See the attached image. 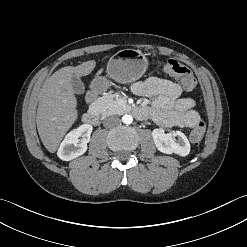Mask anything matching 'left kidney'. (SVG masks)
I'll list each match as a JSON object with an SVG mask.
<instances>
[{"label":"left kidney","instance_id":"5707ae66","mask_svg":"<svg viewBox=\"0 0 247 247\" xmlns=\"http://www.w3.org/2000/svg\"><path fill=\"white\" fill-rule=\"evenodd\" d=\"M152 137L157 149L162 153H174L183 157L190 152V143L184 133L180 131L166 134L162 128H157L152 131Z\"/></svg>","mask_w":247,"mask_h":247}]
</instances>
